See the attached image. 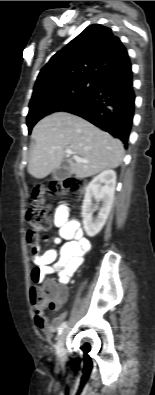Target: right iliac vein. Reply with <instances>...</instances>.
I'll return each instance as SVG.
<instances>
[{"label": "right iliac vein", "instance_id": "1", "mask_svg": "<svg viewBox=\"0 0 155 395\" xmlns=\"http://www.w3.org/2000/svg\"><path fill=\"white\" fill-rule=\"evenodd\" d=\"M64 339L65 333H62L56 344V354L59 361L65 360Z\"/></svg>", "mask_w": 155, "mask_h": 395}]
</instances>
